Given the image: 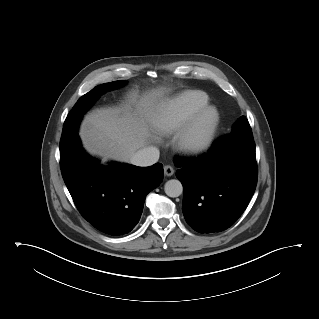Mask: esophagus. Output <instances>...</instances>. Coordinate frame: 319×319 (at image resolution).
<instances>
[{"label": "esophagus", "mask_w": 319, "mask_h": 319, "mask_svg": "<svg viewBox=\"0 0 319 319\" xmlns=\"http://www.w3.org/2000/svg\"><path fill=\"white\" fill-rule=\"evenodd\" d=\"M164 173L166 176H172L174 174V169L170 165L164 166Z\"/></svg>", "instance_id": "esophagus-1"}]
</instances>
